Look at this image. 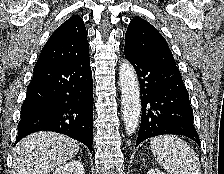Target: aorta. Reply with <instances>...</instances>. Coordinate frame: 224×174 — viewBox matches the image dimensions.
Here are the masks:
<instances>
[{
	"label": "aorta",
	"mask_w": 224,
	"mask_h": 174,
	"mask_svg": "<svg viewBox=\"0 0 224 174\" xmlns=\"http://www.w3.org/2000/svg\"><path fill=\"white\" fill-rule=\"evenodd\" d=\"M122 92V113L127 134L137 129L141 117L140 88L136 71L132 64L124 60L119 69Z\"/></svg>",
	"instance_id": "1"
}]
</instances>
